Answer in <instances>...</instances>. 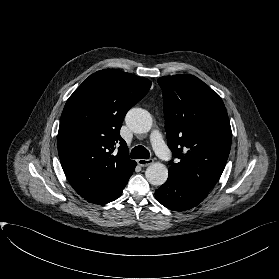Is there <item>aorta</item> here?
Returning a JSON list of instances; mask_svg holds the SVG:
<instances>
[{
	"mask_svg": "<svg viewBox=\"0 0 279 279\" xmlns=\"http://www.w3.org/2000/svg\"><path fill=\"white\" fill-rule=\"evenodd\" d=\"M126 124L135 133H147L152 128L150 113L141 108H132L125 117ZM148 182L155 186L164 184L168 178V169L162 163H152L145 171Z\"/></svg>",
	"mask_w": 279,
	"mask_h": 279,
	"instance_id": "obj_1",
	"label": "aorta"
}]
</instances>
